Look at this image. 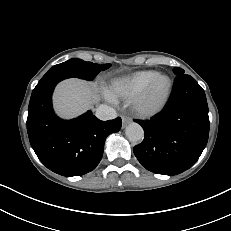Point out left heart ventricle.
<instances>
[{"label": "left heart ventricle", "instance_id": "left-heart-ventricle-1", "mask_svg": "<svg viewBox=\"0 0 231 231\" xmlns=\"http://www.w3.org/2000/svg\"><path fill=\"white\" fill-rule=\"evenodd\" d=\"M164 86H165V80L164 79L158 80L156 86L157 92H160L164 88Z\"/></svg>", "mask_w": 231, "mask_h": 231}]
</instances>
